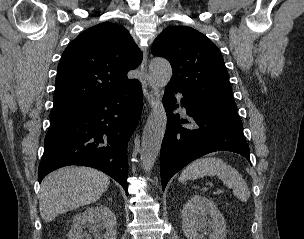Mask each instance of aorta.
I'll use <instances>...</instances> for the list:
<instances>
[{
	"mask_svg": "<svg viewBox=\"0 0 304 239\" xmlns=\"http://www.w3.org/2000/svg\"><path fill=\"white\" fill-rule=\"evenodd\" d=\"M149 77L156 88L165 87L172 77L170 63L163 58H154L149 66ZM166 125V111L162 104V97L159 95L154 102L142 135L141 162L146 172L152 169L158 157Z\"/></svg>",
	"mask_w": 304,
	"mask_h": 239,
	"instance_id": "762f6f07",
	"label": "aorta"
}]
</instances>
